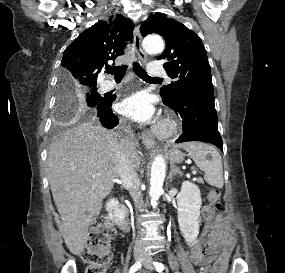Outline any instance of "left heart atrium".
I'll return each mask as SVG.
<instances>
[{"mask_svg": "<svg viewBox=\"0 0 285 273\" xmlns=\"http://www.w3.org/2000/svg\"><path fill=\"white\" fill-rule=\"evenodd\" d=\"M120 111L137 121H148L153 115V107L149 99L142 94H135L125 99L120 105Z\"/></svg>", "mask_w": 285, "mask_h": 273, "instance_id": "obj_1", "label": "left heart atrium"}]
</instances>
